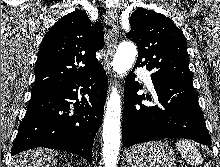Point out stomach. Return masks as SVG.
<instances>
[{
  "instance_id": "stomach-1",
  "label": "stomach",
  "mask_w": 220,
  "mask_h": 167,
  "mask_svg": "<svg viewBox=\"0 0 220 167\" xmlns=\"http://www.w3.org/2000/svg\"><path fill=\"white\" fill-rule=\"evenodd\" d=\"M130 167H174L175 154L162 142H149L132 147L126 155Z\"/></svg>"
}]
</instances>
